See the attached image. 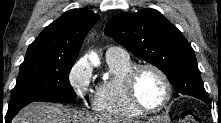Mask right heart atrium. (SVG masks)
<instances>
[{
    "label": "right heart atrium",
    "instance_id": "obj_1",
    "mask_svg": "<svg viewBox=\"0 0 221 123\" xmlns=\"http://www.w3.org/2000/svg\"><path fill=\"white\" fill-rule=\"evenodd\" d=\"M68 81L77 96L84 99L91 83V71L85 61L75 62L70 69Z\"/></svg>",
    "mask_w": 221,
    "mask_h": 123
}]
</instances>
